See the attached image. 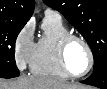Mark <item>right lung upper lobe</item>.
I'll return each instance as SVG.
<instances>
[{
    "label": "right lung upper lobe",
    "mask_w": 107,
    "mask_h": 89,
    "mask_svg": "<svg viewBox=\"0 0 107 89\" xmlns=\"http://www.w3.org/2000/svg\"><path fill=\"white\" fill-rule=\"evenodd\" d=\"M33 10L34 0H0V19L26 23Z\"/></svg>",
    "instance_id": "obj_1"
}]
</instances>
